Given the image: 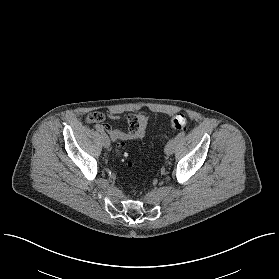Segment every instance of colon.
<instances>
[{
  "mask_svg": "<svg viewBox=\"0 0 279 279\" xmlns=\"http://www.w3.org/2000/svg\"><path fill=\"white\" fill-rule=\"evenodd\" d=\"M188 124V119L185 115L183 114H177L175 115L171 121H170V125L173 129H184ZM122 153L124 155H126V153L123 152V147L118 146L115 148V155L117 157H120L122 155Z\"/></svg>",
  "mask_w": 279,
  "mask_h": 279,
  "instance_id": "1",
  "label": "colon"
}]
</instances>
